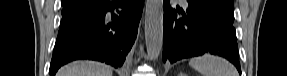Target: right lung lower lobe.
I'll use <instances>...</instances> for the list:
<instances>
[{
  "label": "right lung lower lobe",
  "instance_id": "obj_1",
  "mask_svg": "<svg viewBox=\"0 0 287 76\" xmlns=\"http://www.w3.org/2000/svg\"><path fill=\"white\" fill-rule=\"evenodd\" d=\"M144 0H88L63 16L50 64L54 76L64 64L92 59L121 67L137 36ZM114 8H120L113 12Z\"/></svg>",
  "mask_w": 287,
  "mask_h": 76
}]
</instances>
